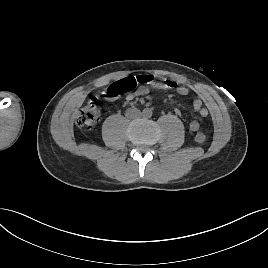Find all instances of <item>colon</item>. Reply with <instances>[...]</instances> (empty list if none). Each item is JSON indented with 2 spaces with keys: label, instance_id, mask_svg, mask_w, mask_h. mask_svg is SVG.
<instances>
[{
  "label": "colon",
  "instance_id": "colon-1",
  "mask_svg": "<svg viewBox=\"0 0 268 268\" xmlns=\"http://www.w3.org/2000/svg\"><path fill=\"white\" fill-rule=\"evenodd\" d=\"M137 85H147L157 89L170 91L173 90L176 84L172 81L166 80L163 82H156L151 75H138L123 78L117 82L112 83L104 88L102 94L105 98L114 100L124 93L133 91ZM100 120V104L97 97H91L86 105L81 108L77 114L76 122L79 126L88 129L93 128ZM207 136L203 132H199L195 136L197 143H204Z\"/></svg>",
  "mask_w": 268,
  "mask_h": 268
}]
</instances>
